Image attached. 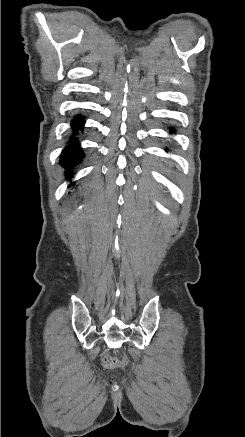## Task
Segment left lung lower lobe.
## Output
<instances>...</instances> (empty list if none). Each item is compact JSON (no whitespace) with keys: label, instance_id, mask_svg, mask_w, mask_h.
<instances>
[{"label":"left lung lower lobe","instance_id":"obj_1","mask_svg":"<svg viewBox=\"0 0 245 437\" xmlns=\"http://www.w3.org/2000/svg\"><path fill=\"white\" fill-rule=\"evenodd\" d=\"M169 131H170V133H171V132H175V129L170 127V128H169Z\"/></svg>","mask_w":245,"mask_h":437}]
</instances>
